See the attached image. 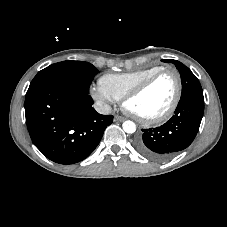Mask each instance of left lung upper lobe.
<instances>
[{"mask_svg":"<svg viewBox=\"0 0 227 227\" xmlns=\"http://www.w3.org/2000/svg\"><path fill=\"white\" fill-rule=\"evenodd\" d=\"M162 61L166 63H173L176 66V68L179 70V73L181 76V82H182L181 97L190 93L203 94L199 80L196 78V76L192 73V71L188 67H186L184 64H182L177 60L165 59Z\"/></svg>","mask_w":227,"mask_h":227,"instance_id":"left-lung-upper-lobe-1","label":"left lung upper lobe"}]
</instances>
